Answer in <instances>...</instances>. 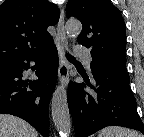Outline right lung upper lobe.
<instances>
[{
    "label": "right lung upper lobe",
    "mask_w": 144,
    "mask_h": 137,
    "mask_svg": "<svg viewBox=\"0 0 144 137\" xmlns=\"http://www.w3.org/2000/svg\"><path fill=\"white\" fill-rule=\"evenodd\" d=\"M59 9L48 0H6L0 5V71L53 41L47 27Z\"/></svg>",
    "instance_id": "cb5924a9"
}]
</instances>
